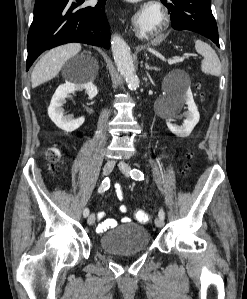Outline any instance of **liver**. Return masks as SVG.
Masks as SVG:
<instances>
[{
  "mask_svg": "<svg viewBox=\"0 0 247 299\" xmlns=\"http://www.w3.org/2000/svg\"><path fill=\"white\" fill-rule=\"evenodd\" d=\"M81 50L79 43H68L48 51L35 65L31 74L32 88L53 79L58 75L68 59Z\"/></svg>",
  "mask_w": 247,
  "mask_h": 299,
  "instance_id": "obj_1",
  "label": "liver"
}]
</instances>
